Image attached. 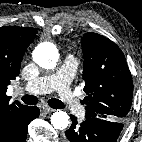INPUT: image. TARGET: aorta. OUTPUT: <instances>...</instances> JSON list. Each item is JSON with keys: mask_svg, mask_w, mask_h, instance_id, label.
<instances>
[{"mask_svg": "<svg viewBox=\"0 0 142 142\" xmlns=\"http://www.w3.org/2000/svg\"><path fill=\"white\" fill-rule=\"evenodd\" d=\"M33 59L42 68L54 69L59 59L58 50L53 43H40L33 51ZM51 124L55 129H66L69 124L68 114L63 111L54 112L51 116Z\"/></svg>", "mask_w": 142, "mask_h": 142, "instance_id": "762f6f07", "label": "aorta"}]
</instances>
